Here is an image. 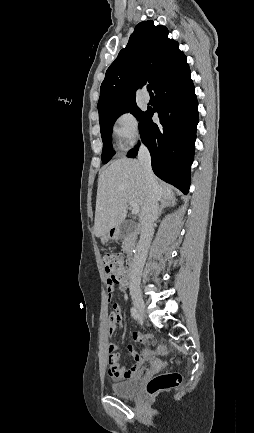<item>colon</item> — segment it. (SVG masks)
Masks as SVG:
<instances>
[{
	"label": "colon",
	"mask_w": 254,
	"mask_h": 433,
	"mask_svg": "<svg viewBox=\"0 0 254 433\" xmlns=\"http://www.w3.org/2000/svg\"><path fill=\"white\" fill-rule=\"evenodd\" d=\"M104 269L107 274V284H118L128 281V269L125 258L118 253H108L103 256ZM181 382V376L176 372L161 373L153 377L146 386V393L154 396L170 390Z\"/></svg>",
	"instance_id": "obj_1"
}]
</instances>
